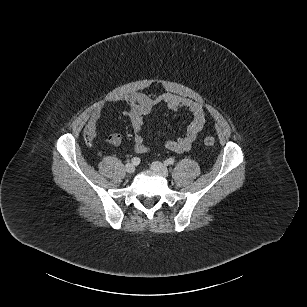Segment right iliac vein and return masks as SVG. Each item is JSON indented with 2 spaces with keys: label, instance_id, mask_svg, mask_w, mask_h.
Segmentation results:
<instances>
[{
  "label": "right iliac vein",
  "instance_id": "right-iliac-vein-1",
  "mask_svg": "<svg viewBox=\"0 0 307 307\" xmlns=\"http://www.w3.org/2000/svg\"><path fill=\"white\" fill-rule=\"evenodd\" d=\"M125 170L128 172V173H133L135 171V166L132 164V163H127L125 165Z\"/></svg>",
  "mask_w": 307,
  "mask_h": 307
}]
</instances>
